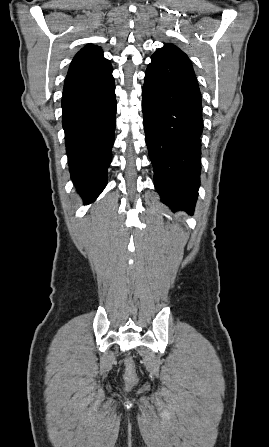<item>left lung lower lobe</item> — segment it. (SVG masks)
Returning <instances> with one entry per match:
<instances>
[{"label": "left lung lower lobe", "mask_w": 269, "mask_h": 447, "mask_svg": "<svg viewBox=\"0 0 269 447\" xmlns=\"http://www.w3.org/2000/svg\"><path fill=\"white\" fill-rule=\"evenodd\" d=\"M142 110L154 184L173 210L194 208L201 171L202 104L191 61L180 49L151 57Z\"/></svg>", "instance_id": "left-lung-lower-lobe-1"}]
</instances>
